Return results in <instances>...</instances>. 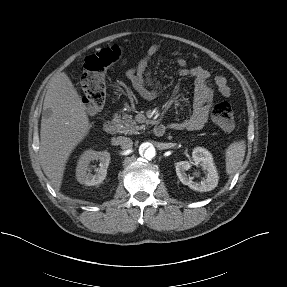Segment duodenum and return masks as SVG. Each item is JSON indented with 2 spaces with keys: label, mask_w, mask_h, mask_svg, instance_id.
Segmentation results:
<instances>
[{
  "label": "duodenum",
  "mask_w": 287,
  "mask_h": 287,
  "mask_svg": "<svg viewBox=\"0 0 287 287\" xmlns=\"http://www.w3.org/2000/svg\"><path fill=\"white\" fill-rule=\"evenodd\" d=\"M104 130L108 134H115L117 132V125L113 120H107L104 123ZM153 133L157 137H161L165 133V126L161 123H157L154 125Z\"/></svg>",
  "instance_id": "obj_1"
}]
</instances>
